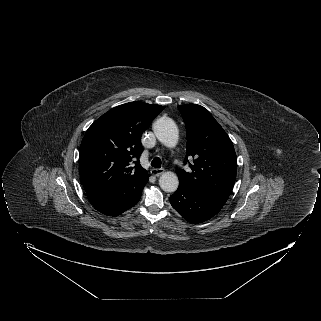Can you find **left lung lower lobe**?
<instances>
[{
  "mask_svg": "<svg viewBox=\"0 0 321 321\" xmlns=\"http://www.w3.org/2000/svg\"><path fill=\"white\" fill-rule=\"evenodd\" d=\"M228 197L229 195L179 185L177 191L171 195L170 203L187 221L201 223L216 215Z\"/></svg>",
  "mask_w": 321,
  "mask_h": 321,
  "instance_id": "obj_1",
  "label": "left lung lower lobe"
}]
</instances>
